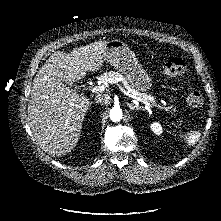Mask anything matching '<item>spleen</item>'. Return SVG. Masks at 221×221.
I'll use <instances>...</instances> for the list:
<instances>
[{"label": "spleen", "instance_id": "obj_1", "mask_svg": "<svg viewBox=\"0 0 221 221\" xmlns=\"http://www.w3.org/2000/svg\"><path fill=\"white\" fill-rule=\"evenodd\" d=\"M199 137H200L199 132L190 133L187 138L188 145H194L199 140Z\"/></svg>", "mask_w": 221, "mask_h": 221}]
</instances>
